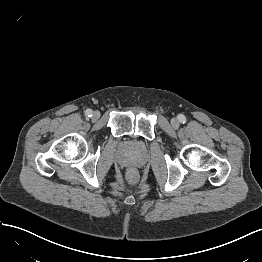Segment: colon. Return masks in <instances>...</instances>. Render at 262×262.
Instances as JSON below:
<instances>
[{
	"mask_svg": "<svg viewBox=\"0 0 262 262\" xmlns=\"http://www.w3.org/2000/svg\"><path fill=\"white\" fill-rule=\"evenodd\" d=\"M128 178L132 183H135L138 180V174L135 170H130L128 172Z\"/></svg>",
	"mask_w": 262,
	"mask_h": 262,
	"instance_id": "5ec220e1",
	"label": "colon"
}]
</instances>
